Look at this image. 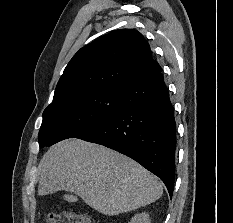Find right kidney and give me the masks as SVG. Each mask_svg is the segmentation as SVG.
<instances>
[{"label":"right kidney","instance_id":"right-kidney-1","mask_svg":"<svg viewBox=\"0 0 233 223\" xmlns=\"http://www.w3.org/2000/svg\"><path fill=\"white\" fill-rule=\"evenodd\" d=\"M129 223H151V219L149 217V213H136L132 219H130Z\"/></svg>","mask_w":233,"mask_h":223}]
</instances>
